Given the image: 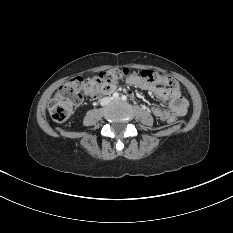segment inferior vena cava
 <instances>
[{"mask_svg":"<svg viewBox=\"0 0 233 233\" xmlns=\"http://www.w3.org/2000/svg\"><path fill=\"white\" fill-rule=\"evenodd\" d=\"M109 100H110V98L105 97L102 99V103L104 104L105 102H108Z\"/></svg>","mask_w":233,"mask_h":233,"instance_id":"obj_1","label":"inferior vena cava"}]
</instances>
